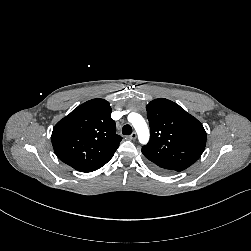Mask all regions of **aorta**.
Instances as JSON below:
<instances>
[{
  "instance_id": "obj_1",
  "label": "aorta",
  "mask_w": 251,
  "mask_h": 251,
  "mask_svg": "<svg viewBox=\"0 0 251 251\" xmlns=\"http://www.w3.org/2000/svg\"><path fill=\"white\" fill-rule=\"evenodd\" d=\"M130 122L138 134L139 142L146 144L149 140V129L144 118L138 113H131Z\"/></svg>"
}]
</instances>
